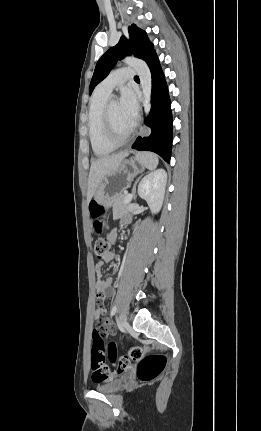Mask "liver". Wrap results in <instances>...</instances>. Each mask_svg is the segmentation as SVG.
<instances>
[{
    "mask_svg": "<svg viewBox=\"0 0 261 431\" xmlns=\"http://www.w3.org/2000/svg\"><path fill=\"white\" fill-rule=\"evenodd\" d=\"M127 155L128 152L125 151L115 155L101 157L92 162L88 179L87 202L91 201L104 178L113 174Z\"/></svg>",
    "mask_w": 261,
    "mask_h": 431,
    "instance_id": "1",
    "label": "liver"
}]
</instances>
